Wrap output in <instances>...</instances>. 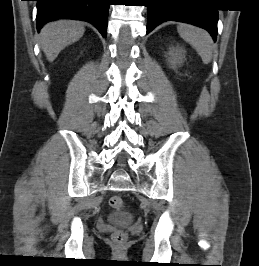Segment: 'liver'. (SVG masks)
<instances>
[{"instance_id": "6515ba94", "label": "liver", "mask_w": 259, "mask_h": 266, "mask_svg": "<svg viewBox=\"0 0 259 266\" xmlns=\"http://www.w3.org/2000/svg\"><path fill=\"white\" fill-rule=\"evenodd\" d=\"M84 31L79 21L63 19L46 24L40 33V45L47 60L53 62L65 47L78 41Z\"/></svg>"}]
</instances>
